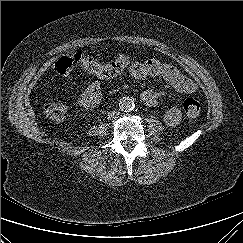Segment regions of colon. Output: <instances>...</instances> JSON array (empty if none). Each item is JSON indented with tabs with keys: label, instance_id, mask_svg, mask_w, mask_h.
Wrapping results in <instances>:
<instances>
[{
	"label": "colon",
	"instance_id": "colon-1",
	"mask_svg": "<svg viewBox=\"0 0 243 243\" xmlns=\"http://www.w3.org/2000/svg\"><path fill=\"white\" fill-rule=\"evenodd\" d=\"M129 62L127 55H121L110 63L100 64L89 56L76 53L59 58L54 64V71L61 76H68L75 70H83L101 79H111L120 75ZM183 109L190 121H195L200 114V104L194 98H187L183 103ZM66 112V104L61 100L50 101L44 106L45 115L55 122L63 121Z\"/></svg>",
	"mask_w": 243,
	"mask_h": 243
}]
</instances>
